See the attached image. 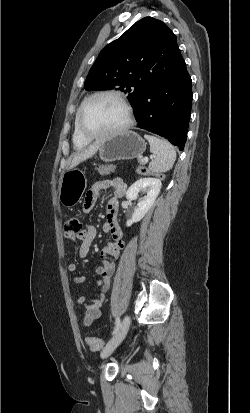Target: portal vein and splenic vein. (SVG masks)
I'll return each mask as SVG.
<instances>
[{
    "instance_id": "obj_1",
    "label": "portal vein and splenic vein",
    "mask_w": 250,
    "mask_h": 413,
    "mask_svg": "<svg viewBox=\"0 0 250 413\" xmlns=\"http://www.w3.org/2000/svg\"><path fill=\"white\" fill-rule=\"evenodd\" d=\"M148 160L149 159L147 157L142 159V161H144V162H148Z\"/></svg>"
}]
</instances>
